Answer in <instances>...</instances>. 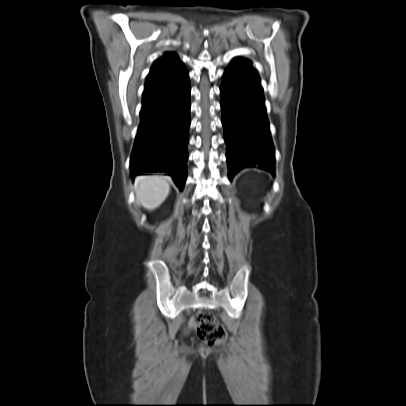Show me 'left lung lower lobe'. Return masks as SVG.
<instances>
[{
    "mask_svg": "<svg viewBox=\"0 0 406 406\" xmlns=\"http://www.w3.org/2000/svg\"><path fill=\"white\" fill-rule=\"evenodd\" d=\"M220 92L229 179L251 164L272 166L262 169L274 174L264 95L252 63L235 59L224 71Z\"/></svg>",
    "mask_w": 406,
    "mask_h": 406,
    "instance_id": "1",
    "label": "left lung lower lobe"
}]
</instances>
